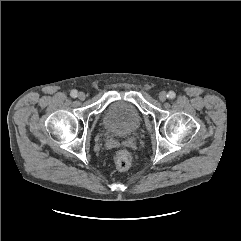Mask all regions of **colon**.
Wrapping results in <instances>:
<instances>
[{
  "label": "colon",
  "instance_id": "colon-1",
  "mask_svg": "<svg viewBox=\"0 0 241 241\" xmlns=\"http://www.w3.org/2000/svg\"><path fill=\"white\" fill-rule=\"evenodd\" d=\"M131 157L125 150H118L114 154V164L118 170H126L130 166Z\"/></svg>",
  "mask_w": 241,
  "mask_h": 241
}]
</instances>
